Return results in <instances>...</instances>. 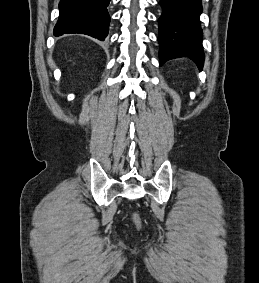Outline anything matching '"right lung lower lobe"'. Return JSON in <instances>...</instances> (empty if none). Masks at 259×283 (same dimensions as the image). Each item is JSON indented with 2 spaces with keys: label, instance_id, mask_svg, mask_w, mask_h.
I'll return each instance as SVG.
<instances>
[{
  "label": "right lung lower lobe",
  "instance_id": "1",
  "mask_svg": "<svg viewBox=\"0 0 259 283\" xmlns=\"http://www.w3.org/2000/svg\"><path fill=\"white\" fill-rule=\"evenodd\" d=\"M109 2L110 0H61L54 35L79 33L105 40L110 23L107 11Z\"/></svg>",
  "mask_w": 259,
  "mask_h": 283
}]
</instances>
